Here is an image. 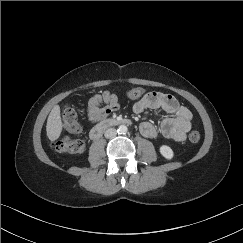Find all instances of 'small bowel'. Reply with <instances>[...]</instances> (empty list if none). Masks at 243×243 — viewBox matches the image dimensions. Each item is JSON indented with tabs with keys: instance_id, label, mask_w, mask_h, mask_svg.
I'll list each match as a JSON object with an SVG mask.
<instances>
[{
	"instance_id": "small-bowel-1",
	"label": "small bowel",
	"mask_w": 243,
	"mask_h": 243,
	"mask_svg": "<svg viewBox=\"0 0 243 243\" xmlns=\"http://www.w3.org/2000/svg\"><path fill=\"white\" fill-rule=\"evenodd\" d=\"M120 107V101L115 94L104 91L94 94L86 105V119L89 123H97L106 118ZM150 109L158 114L165 112L169 117L163 119L159 127L149 121L140 125V132L148 138L163 136L174 141H183L192 127V113L186 107L179 104L177 99L169 94L161 92L146 93L133 105L136 114Z\"/></svg>"
}]
</instances>
